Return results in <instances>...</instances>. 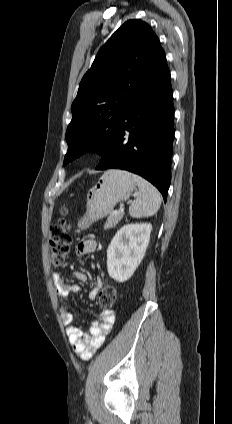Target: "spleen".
Wrapping results in <instances>:
<instances>
[{
	"instance_id": "3e777b00",
	"label": "spleen",
	"mask_w": 232,
	"mask_h": 424,
	"mask_svg": "<svg viewBox=\"0 0 232 424\" xmlns=\"http://www.w3.org/2000/svg\"><path fill=\"white\" fill-rule=\"evenodd\" d=\"M134 181L139 188V194L129 207V214L132 217H149L157 213L161 205V195L159 191L144 178L132 174Z\"/></svg>"
}]
</instances>
